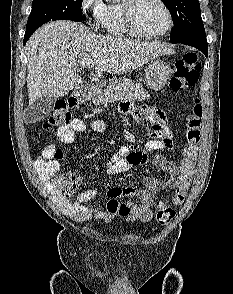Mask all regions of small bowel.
Wrapping results in <instances>:
<instances>
[{
    "mask_svg": "<svg viewBox=\"0 0 233 294\" xmlns=\"http://www.w3.org/2000/svg\"><path fill=\"white\" fill-rule=\"evenodd\" d=\"M138 107H134L129 101H123L120 111L124 115H132L136 121L145 117L152 126L150 140L142 148L124 145L113 153L107 163V171L111 175L126 172L135 165L148 162L149 152L172 150L174 147L173 133L168 126L165 113L159 108L151 107V103H139ZM87 129V124L80 119H74L68 125L62 126L57 133V142L47 145L43 149V158L36 162V168L57 207L64 215L78 222L93 218L109 222L117 216L127 220L150 221L153 217L152 205L156 193L163 189H174L178 185L179 168L161 154L155 155L152 163L166 173V178L146 177L141 189L134 186L110 188L107 192L109 200L104 210L90 204L97 195L95 190H83L73 200L58 191L56 179L52 180L64 158L58 145L73 143L76 134L86 132ZM92 129L102 132L106 130V123L103 120H96L92 123ZM121 197L126 198L125 203L118 201ZM121 206H125L127 212H122Z\"/></svg>",
    "mask_w": 233,
    "mask_h": 294,
    "instance_id": "obj_1",
    "label": "small bowel"
}]
</instances>
